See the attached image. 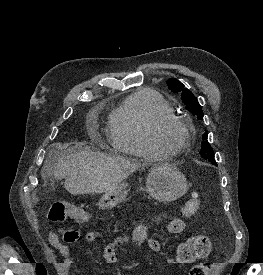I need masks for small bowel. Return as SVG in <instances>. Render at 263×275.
<instances>
[{
	"instance_id": "small-bowel-1",
	"label": "small bowel",
	"mask_w": 263,
	"mask_h": 275,
	"mask_svg": "<svg viewBox=\"0 0 263 275\" xmlns=\"http://www.w3.org/2000/svg\"><path fill=\"white\" fill-rule=\"evenodd\" d=\"M185 226V222L182 219L174 218L168 223L167 231L171 234H178L184 231ZM47 238L49 244L63 257V261L60 263V268L62 270H68L73 263L68 244L80 240L93 242L99 238V233L91 230L87 231L85 234H81L75 230H66L62 232L60 238L55 232L49 230L47 232ZM144 244H146L154 253L161 252V244L159 241L149 237L148 235V225L146 223H140L135 227L130 235L119 236L105 246L103 252L104 261L109 264L116 263L119 260L120 255L128 247H140ZM166 262L175 263L177 261L173 258H167Z\"/></svg>"
}]
</instances>
